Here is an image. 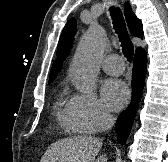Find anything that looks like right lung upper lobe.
I'll use <instances>...</instances> for the list:
<instances>
[{
  "label": "right lung upper lobe",
  "mask_w": 168,
  "mask_h": 162,
  "mask_svg": "<svg viewBox=\"0 0 168 162\" xmlns=\"http://www.w3.org/2000/svg\"><path fill=\"white\" fill-rule=\"evenodd\" d=\"M124 12L131 33L136 37L142 38L143 37L142 23L132 12L129 3L125 4ZM75 33H76V20L72 18L67 22L60 36V40L57 47V59L52 65L49 81H53L56 78L59 71L61 70L62 62L70 52ZM139 50H142V48H138L136 51Z\"/></svg>",
  "instance_id": "right-lung-upper-lobe-1"
}]
</instances>
